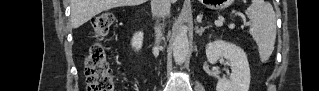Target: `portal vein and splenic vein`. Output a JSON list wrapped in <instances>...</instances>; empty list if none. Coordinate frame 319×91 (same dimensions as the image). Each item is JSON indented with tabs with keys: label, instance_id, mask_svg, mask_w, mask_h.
I'll return each mask as SVG.
<instances>
[{
	"label": "portal vein and splenic vein",
	"instance_id": "1",
	"mask_svg": "<svg viewBox=\"0 0 319 91\" xmlns=\"http://www.w3.org/2000/svg\"><path fill=\"white\" fill-rule=\"evenodd\" d=\"M215 25L218 26V27H221L223 25V22L218 20V21H215Z\"/></svg>",
	"mask_w": 319,
	"mask_h": 91
}]
</instances>
